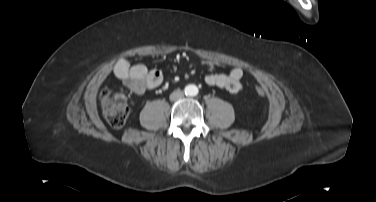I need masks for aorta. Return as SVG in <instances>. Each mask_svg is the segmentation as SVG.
I'll return each mask as SVG.
<instances>
[{"label": "aorta", "instance_id": "obj_1", "mask_svg": "<svg viewBox=\"0 0 376 202\" xmlns=\"http://www.w3.org/2000/svg\"><path fill=\"white\" fill-rule=\"evenodd\" d=\"M185 91L187 95L196 96L198 94V87L191 84L186 87Z\"/></svg>", "mask_w": 376, "mask_h": 202}]
</instances>
